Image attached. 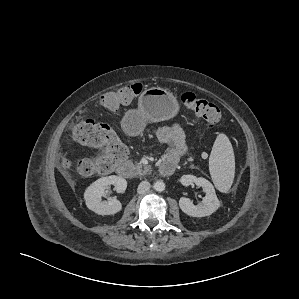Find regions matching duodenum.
I'll return each mask as SVG.
<instances>
[{"mask_svg": "<svg viewBox=\"0 0 299 299\" xmlns=\"http://www.w3.org/2000/svg\"><path fill=\"white\" fill-rule=\"evenodd\" d=\"M175 168H176L175 162L165 160L160 165L159 170L162 175L169 176L174 173ZM117 172L122 177L130 178L133 176V172H134L133 166L128 162H124L119 165V167L117 168Z\"/></svg>", "mask_w": 299, "mask_h": 299, "instance_id": "obj_1", "label": "duodenum"}]
</instances>
